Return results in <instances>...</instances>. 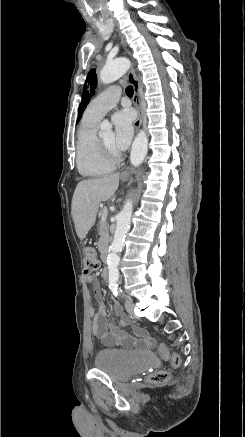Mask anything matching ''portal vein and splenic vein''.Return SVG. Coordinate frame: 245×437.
Wrapping results in <instances>:
<instances>
[{
    "label": "portal vein and splenic vein",
    "instance_id": "1",
    "mask_svg": "<svg viewBox=\"0 0 245 437\" xmlns=\"http://www.w3.org/2000/svg\"><path fill=\"white\" fill-rule=\"evenodd\" d=\"M107 215H108V210L107 209H104L103 210V212H102V220H106V217H107Z\"/></svg>",
    "mask_w": 245,
    "mask_h": 437
}]
</instances>
